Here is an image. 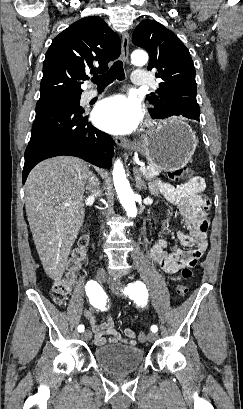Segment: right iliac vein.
<instances>
[{"label":"right iliac vein","instance_id":"1","mask_svg":"<svg viewBox=\"0 0 243 409\" xmlns=\"http://www.w3.org/2000/svg\"><path fill=\"white\" fill-rule=\"evenodd\" d=\"M96 280L99 283H104L107 280V275L104 271H98L96 274ZM92 337V333L89 330H86L82 333V339L85 341L90 340Z\"/></svg>","mask_w":243,"mask_h":409}]
</instances>
